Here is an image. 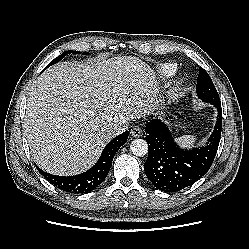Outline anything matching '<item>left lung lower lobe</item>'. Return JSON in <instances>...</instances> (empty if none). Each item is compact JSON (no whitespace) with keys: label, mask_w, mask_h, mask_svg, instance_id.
Masks as SVG:
<instances>
[{"label":"left lung lower lobe","mask_w":249,"mask_h":249,"mask_svg":"<svg viewBox=\"0 0 249 249\" xmlns=\"http://www.w3.org/2000/svg\"><path fill=\"white\" fill-rule=\"evenodd\" d=\"M214 106L218 111L217 121L205 147L181 149L163 122L152 119L147 124L149 149L144 170L157 189L175 192L192 185L207 173L217 153L222 129L221 103Z\"/></svg>","instance_id":"obj_1"}]
</instances>
